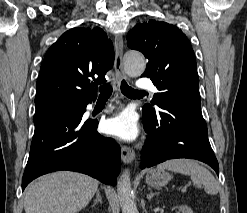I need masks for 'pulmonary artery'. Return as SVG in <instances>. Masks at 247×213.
<instances>
[{
    "label": "pulmonary artery",
    "instance_id": "1",
    "mask_svg": "<svg viewBox=\"0 0 247 213\" xmlns=\"http://www.w3.org/2000/svg\"><path fill=\"white\" fill-rule=\"evenodd\" d=\"M139 90H149L153 93H157V88L153 85L149 78H141L138 83Z\"/></svg>",
    "mask_w": 247,
    "mask_h": 213
}]
</instances>
